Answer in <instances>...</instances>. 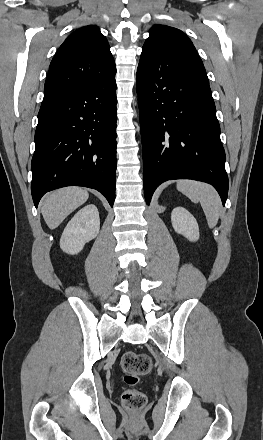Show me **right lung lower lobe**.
I'll use <instances>...</instances> for the list:
<instances>
[{"label":"right lung lower lobe","mask_w":263,"mask_h":440,"mask_svg":"<svg viewBox=\"0 0 263 440\" xmlns=\"http://www.w3.org/2000/svg\"><path fill=\"white\" fill-rule=\"evenodd\" d=\"M115 76L41 104L32 158L35 206L48 191L85 186L113 206L116 186Z\"/></svg>","instance_id":"obj_1"}]
</instances>
